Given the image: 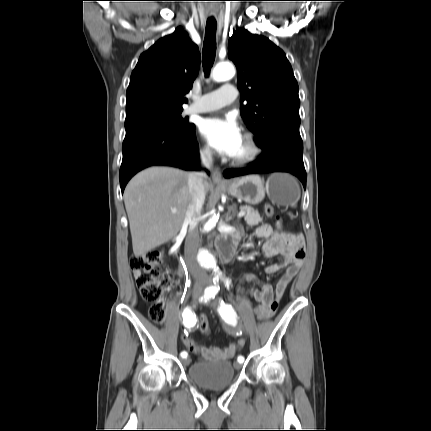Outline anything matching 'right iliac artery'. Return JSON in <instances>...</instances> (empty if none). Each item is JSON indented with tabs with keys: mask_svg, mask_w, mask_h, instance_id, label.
Listing matches in <instances>:
<instances>
[{
	"mask_svg": "<svg viewBox=\"0 0 431 431\" xmlns=\"http://www.w3.org/2000/svg\"><path fill=\"white\" fill-rule=\"evenodd\" d=\"M212 296V289L211 288H207L205 290V294L203 297H201L200 301H207L209 298H211ZM182 317H183V324L185 327L187 328H191L195 325L196 323V318L195 315L193 314L192 310L190 307H186L182 313ZM181 357L182 358H186L187 357V352L183 351L181 352Z\"/></svg>",
	"mask_w": 431,
	"mask_h": 431,
	"instance_id": "right-iliac-artery-1",
	"label": "right iliac artery"
}]
</instances>
